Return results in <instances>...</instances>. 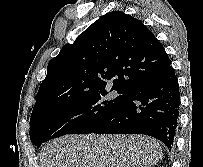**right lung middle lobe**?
I'll return each instance as SVG.
<instances>
[{"label": "right lung middle lobe", "mask_w": 203, "mask_h": 167, "mask_svg": "<svg viewBox=\"0 0 203 167\" xmlns=\"http://www.w3.org/2000/svg\"><path fill=\"white\" fill-rule=\"evenodd\" d=\"M123 101V94L111 98L106 90L55 100L32 111L30 139L40 147L63 135L92 133Z\"/></svg>", "instance_id": "obj_1"}]
</instances>
